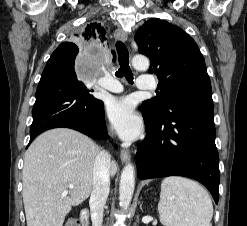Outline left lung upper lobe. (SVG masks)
<instances>
[{
	"label": "left lung upper lobe",
	"mask_w": 247,
	"mask_h": 226,
	"mask_svg": "<svg viewBox=\"0 0 247 226\" xmlns=\"http://www.w3.org/2000/svg\"><path fill=\"white\" fill-rule=\"evenodd\" d=\"M139 52L150 59L149 72L157 75L159 97L142 103L144 115L163 117L173 102L195 94H211L204 58L195 41L181 28L159 18L136 32Z\"/></svg>",
	"instance_id": "left-lung-upper-lobe-1"
}]
</instances>
